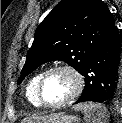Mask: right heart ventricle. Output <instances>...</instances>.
Returning <instances> with one entry per match:
<instances>
[{
  "label": "right heart ventricle",
  "instance_id": "obj_1",
  "mask_svg": "<svg viewBox=\"0 0 122 123\" xmlns=\"http://www.w3.org/2000/svg\"><path fill=\"white\" fill-rule=\"evenodd\" d=\"M43 72L34 74L29 80L26 87V97L28 101L35 107H41V103L37 98V84Z\"/></svg>",
  "mask_w": 122,
  "mask_h": 123
}]
</instances>
